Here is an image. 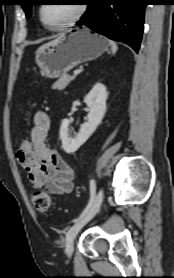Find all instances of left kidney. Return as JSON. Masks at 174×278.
Segmentation results:
<instances>
[{
	"label": "left kidney",
	"mask_w": 174,
	"mask_h": 278,
	"mask_svg": "<svg viewBox=\"0 0 174 278\" xmlns=\"http://www.w3.org/2000/svg\"><path fill=\"white\" fill-rule=\"evenodd\" d=\"M108 93L102 83H97L86 95L84 101L89 108L88 120L80 127V131L75 137L69 135L70 120L64 119L60 126V139L62 147L68 154L76 152L89 137L94 133L101 123L106 112V100Z\"/></svg>",
	"instance_id": "obj_1"
}]
</instances>
